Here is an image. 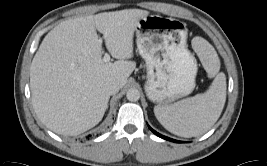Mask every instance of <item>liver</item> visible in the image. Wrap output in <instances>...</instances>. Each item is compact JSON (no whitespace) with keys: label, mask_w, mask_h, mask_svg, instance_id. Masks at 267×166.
<instances>
[{"label":"liver","mask_w":267,"mask_h":166,"mask_svg":"<svg viewBox=\"0 0 267 166\" xmlns=\"http://www.w3.org/2000/svg\"><path fill=\"white\" fill-rule=\"evenodd\" d=\"M149 15L125 9L65 20L43 39L30 67L32 104L39 119L57 134L78 135L104 116L108 81L122 88L134 71L133 36ZM97 30L115 62H104Z\"/></svg>","instance_id":"6515ba94"}]
</instances>
